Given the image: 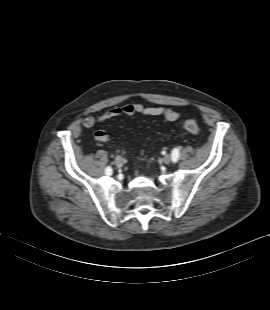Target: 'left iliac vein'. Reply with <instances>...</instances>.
<instances>
[{
	"instance_id": "4c4485c4",
	"label": "left iliac vein",
	"mask_w": 270,
	"mask_h": 310,
	"mask_svg": "<svg viewBox=\"0 0 270 310\" xmlns=\"http://www.w3.org/2000/svg\"><path fill=\"white\" fill-rule=\"evenodd\" d=\"M163 162L165 164H170L171 163V157L170 155H165L164 158H163Z\"/></svg>"
}]
</instances>
